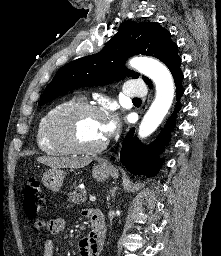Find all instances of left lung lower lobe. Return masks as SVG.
Wrapping results in <instances>:
<instances>
[{
  "instance_id": "1",
  "label": "left lung lower lobe",
  "mask_w": 221,
  "mask_h": 256,
  "mask_svg": "<svg viewBox=\"0 0 221 256\" xmlns=\"http://www.w3.org/2000/svg\"><path fill=\"white\" fill-rule=\"evenodd\" d=\"M177 88V106L176 111L181 107L179 102L184 89L182 87L183 74L181 70L172 73ZM150 88L152 84L148 85ZM175 124L174 116L167 121L163 131L158 135L157 139L147 147H143L137 137H133L134 129H132L123 141L120 152V160L133 174H144L148 177L155 176L160 168L162 160H157V154L161 145L168 141L169 129Z\"/></svg>"
}]
</instances>
